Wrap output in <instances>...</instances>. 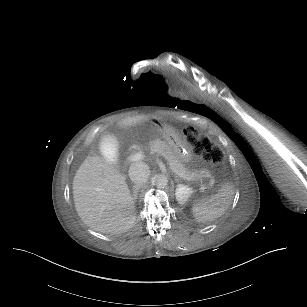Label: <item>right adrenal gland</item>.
<instances>
[{
    "label": "right adrenal gland",
    "instance_id": "obj_1",
    "mask_svg": "<svg viewBox=\"0 0 307 307\" xmlns=\"http://www.w3.org/2000/svg\"><path fill=\"white\" fill-rule=\"evenodd\" d=\"M136 197H137V192H134L133 196L131 198H132V200H134Z\"/></svg>",
    "mask_w": 307,
    "mask_h": 307
}]
</instances>
